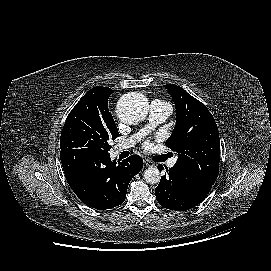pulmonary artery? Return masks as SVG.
Here are the masks:
<instances>
[{"instance_id":"pulmonary-artery-1","label":"pulmonary artery","mask_w":271,"mask_h":271,"mask_svg":"<svg viewBox=\"0 0 271 271\" xmlns=\"http://www.w3.org/2000/svg\"><path fill=\"white\" fill-rule=\"evenodd\" d=\"M171 112L172 107L169 103L159 100L152 101L150 105L149 125L142 132L134 134L129 139L125 140L121 144H118L115 148V151L120 152L132 147L148 129H151L165 121ZM176 161L177 159L173 158L169 161L168 165L172 167L176 164Z\"/></svg>"}]
</instances>
